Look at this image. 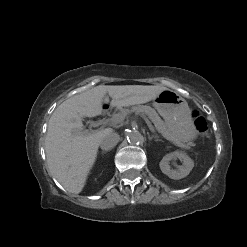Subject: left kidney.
<instances>
[{
    "mask_svg": "<svg viewBox=\"0 0 247 247\" xmlns=\"http://www.w3.org/2000/svg\"><path fill=\"white\" fill-rule=\"evenodd\" d=\"M179 159L182 165L178 169H171L170 161ZM161 171L171 179H181L186 177L194 167L193 160L184 152L175 151L166 154L159 163Z\"/></svg>",
    "mask_w": 247,
    "mask_h": 247,
    "instance_id": "5707ae66",
    "label": "left kidney"
}]
</instances>
